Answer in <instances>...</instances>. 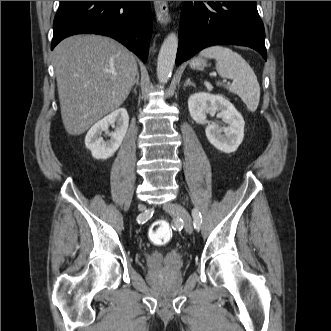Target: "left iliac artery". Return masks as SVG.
Returning a JSON list of instances; mask_svg holds the SVG:
<instances>
[{
	"instance_id": "left-iliac-artery-1",
	"label": "left iliac artery",
	"mask_w": 331,
	"mask_h": 331,
	"mask_svg": "<svg viewBox=\"0 0 331 331\" xmlns=\"http://www.w3.org/2000/svg\"><path fill=\"white\" fill-rule=\"evenodd\" d=\"M193 224L196 230H200L202 224L201 213L197 209L192 210Z\"/></svg>"
}]
</instances>
